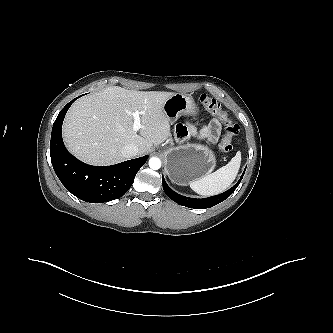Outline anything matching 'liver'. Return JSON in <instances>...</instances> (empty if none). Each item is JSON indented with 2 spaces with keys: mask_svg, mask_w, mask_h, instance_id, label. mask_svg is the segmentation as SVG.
Listing matches in <instances>:
<instances>
[{
  "mask_svg": "<svg viewBox=\"0 0 333 333\" xmlns=\"http://www.w3.org/2000/svg\"><path fill=\"white\" fill-rule=\"evenodd\" d=\"M174 94L111 86L84 96L65 117L64 142L76 157L94 165L124 161L121 150L127 144L137 145L139 155H144L171 135L163 105ZM135 111L141 113L139 134L133 130Z\"/></svg>",
  "mask_w": 333,
  "mask_h": 333,
  "instance_id": "liver-1",
  "label": "liver"
}]
</instances>
